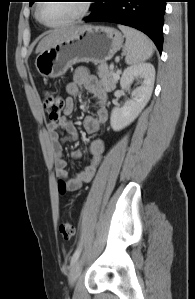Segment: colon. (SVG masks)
<instances>
[{"instance_id":"obj_1","label":"colon","mask_w":195,"mask_h":299,"mask_svg":"<svg viewBox=\"0 0 195 299\" xmlns=\"http://www.w3.org/2000/svg\"><path fill=\"white\" fill-rule=\"evenodd\" d=\"M64 99L57 94L46 91L43 94L42 106L51 122H59L61 120L62 111L64 109ZM59 190L64 193L67 186L64 181L59 182ZM75 226L71 221H64L60 225V233L65 239H69L74 235Z\"/></svg>"}]
</instances>
